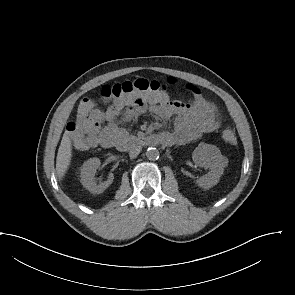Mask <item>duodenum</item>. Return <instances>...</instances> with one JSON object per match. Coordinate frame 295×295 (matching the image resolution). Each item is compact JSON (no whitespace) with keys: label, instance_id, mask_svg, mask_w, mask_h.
Listing matches in <instances>:
<instances>
[{"label":"duodenum","instance_id":"duodenum-1","mask_svg":"<svg viewBox=\"0 0 295 295\" xmlns=\"http://www.w3.org/2000/svg\"><path fill=\"white\" fill-rule=\"evenodd\" d=\"M154 145H169L168 140L158 135H144L141 137L122 136L113 143V146L122 148H132L135 146H154Z\"/></svg>","mask_w":295,"mask_h":295}]
</instances>
